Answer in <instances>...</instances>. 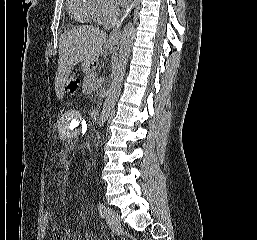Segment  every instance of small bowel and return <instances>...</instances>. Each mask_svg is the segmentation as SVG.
Listing matches in <instances>:
<instances>
[{"label": "small bowel", "instance_id": "1", "mask_svg": "<svg viewBox=\"0 0 257 240\" xmlns=\"http://www.w3.org/2000/svg\"><path fill=\"white\" fill-rule=\"evenodd\" d=\"M62 240H78V236L75 233H73L70 229L65 228L62 232Z\"/></svg>", "mask_w": 257, "mask_h": 240}]
</instances>
